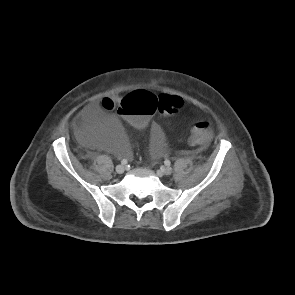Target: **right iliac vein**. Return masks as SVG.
I'll use <instances>...</instances> for the list:
<instances>
[{"instance_id": "1", "label": "right iliac vein", "mask_w": 295, "mask_h": 295, "mask_svg": "<svg viewBox=\"0 0 295 295\" xmlns=\"http://www.w3.org/2000/svg\"><path fill=\"white\" fill-rule=\"evenodd\" d=\"M125 171V166L124 165H117L116 166V172L118 174H122Z\"/></svg>"}]
</instances>
